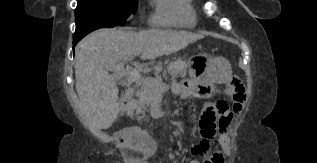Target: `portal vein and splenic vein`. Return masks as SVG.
Segmentation results:
<instances>
[{
	"label": "portal vein and splenic vein",
	"mask_w": 317,
	"mask_h": 163,
	"mask_svg": "<svg viewBox=\"0 0 317 163\" xmlns=\"http://www.w3.org/2000/svg\"><path fill=\"white\" fill-rule=\"evenodd\" d=\"M132 58L128 57L124 59L123 61L111 66L109 69L113 71L114 75L121 77H124L126 75L124 65L126 62L130 61ZM133 82H136L138 84H148L150 86H153L156 91H162L165 89L166 84L161 79H155V80H146L144 78H141L140 74L133 75L132 78Z\"/></svg>",
	"instance_id": "1"
}]
</instances>
